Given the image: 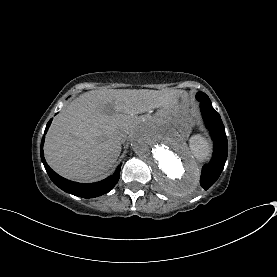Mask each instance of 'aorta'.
Listing matches in <instances>:
<instances>
[{"instance_id": "762f6f07", "label": "aorta", "mask_w": 277, "mask_h": 277, "mask_svg": "<svg viewBox=\"0 0 277 277\" xmlns=\"http://www.w3.org/2000/svg\"><path fill=\"white\" fill-rule=\"evenodd\" d=\"M131 146L167 193L187 196L197 189V165L182 139L166 124L154 118L141 120L131 131Z\"/></svg>"}]
</instances>
